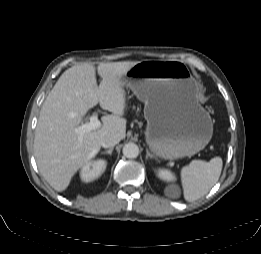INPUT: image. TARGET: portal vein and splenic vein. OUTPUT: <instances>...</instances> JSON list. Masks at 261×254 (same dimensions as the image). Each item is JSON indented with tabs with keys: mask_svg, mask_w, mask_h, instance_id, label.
Returning <instances> with one entry per match:
<instances>
[{
	"mask_svg": "<svg viewBox=\"0 0 261 254\" xmlns=\"http://www.w3.org/2000/svg\"><path fill=\"white\" fill-rule=\"evenodd\" d=\"M100 127H101V122L98 120V116L95 113L90 117L89 122L82 124L81 126H78L77 128L74 129V131L77 134H79L80 138H81L84 133L92 131V130H96Z\"/></svg>",
	"mask_w": 261,
	"mask_h": 254,
	"instance_id": "portal-vein-and-splenic-vein-1",
	"label": "portal vein and splenic vein"
}]
</instances>
